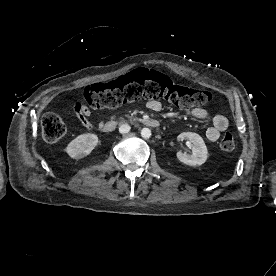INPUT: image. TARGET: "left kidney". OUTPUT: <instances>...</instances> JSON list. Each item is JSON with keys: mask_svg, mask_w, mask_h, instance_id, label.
Listing matches in <instances>:
<instances>
[{"mask_svg": "<svg viewBox=\"0 0 276 276\" xmlns=\"http://www.w3.org/2000/svg\"><path fill=\"white\" fill-rule=\"evenodd\" d=\"M178 140H189L192 143V154L177 152V158L180 162L190 166H200L207 160L208 150L202 137L197 133L183 132Z\"/></svg>", "mask_w": 276, "mask_h": 276, "instance_id": "obj_1", "label": "left kidney"}]
</instances>
